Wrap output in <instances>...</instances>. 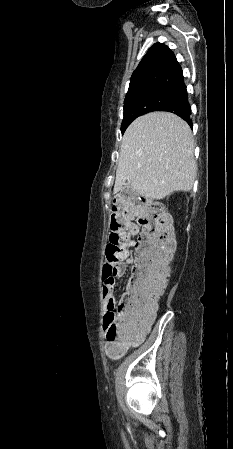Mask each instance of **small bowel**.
Masks as SVG:
<instances>
[{"label": "small bowel", "instance_id": "small-bowel-1", "mask_svg": "<svg viewBox=\"0 0 233 449\" xmlns=\"http://www.w3.org/2000/svg\"><path fill=\"white\" fill-rule=\"evenodd\" d=\"M138 232H139L138 226L134 225L133 235H136ZM132 264H133V257L131 255H128L127 257L120 260L117 264L113 265V267L110 270H108L104 273L103 285H102V295L105 300L107 311L112 309L116 303V294H115V290H114L115 279L124 273L127 266H130ZM150 323H151V320H148L139 325L134 342L131 343L130 345H128L124 349V351L131 346H135V345L139 344L143 340L145 334L149 330ZM111 345L112 344L107 343V348Z\"/></svg>", "mask_w": 233, "mask_h": 449}]
</instances>
